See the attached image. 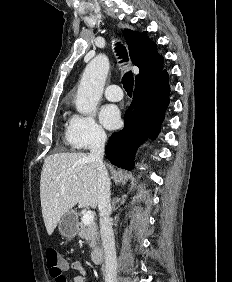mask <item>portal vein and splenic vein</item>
<instances>
[{
	"label": "portal vein and splenic vein",
	"mask_w": 232,
	"mask_h": 282,
	"mask_svg": "<svg viewBox=\"0 0 232 282\" xmlns=\"http://www.w3.org/2000/svg\"><path fill=\"white\" fill-rule=\"evenodd\" d=\"M93 220H94V214L92 211H87L82 217V222L86 225L91 224Z\"/></svg>",
	"instance_id": "portal-vein-and-splenic-vein-1"
}]
</instances>
